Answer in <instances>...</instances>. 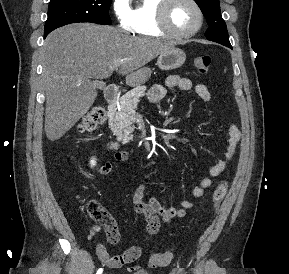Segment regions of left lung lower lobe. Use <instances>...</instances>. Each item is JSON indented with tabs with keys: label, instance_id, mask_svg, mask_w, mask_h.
Returning a JSON list of instances; mask_svg holds the SVG:
<instances>
[{
	"label": "left lung lower lobe",
	"instance_id": "obj_1",
	"mask_svg": "<svg viewBox=\"0 0 289 274\" xmlns=\"http://www.w3.org/2000/svg\"><path fill=\"white\" fill-rule=\"evenodd\" d=\"M224 46H227V47H229V48H232L231 45H228V44H226V45H224Z\"/></svg>",
	"mask_w": 289,
	"mask_h": 274
}]
</instances>
